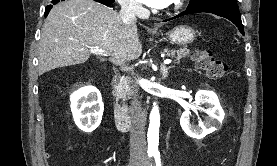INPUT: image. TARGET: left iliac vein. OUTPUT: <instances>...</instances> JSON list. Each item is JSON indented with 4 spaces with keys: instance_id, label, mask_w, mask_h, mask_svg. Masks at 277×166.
Masks as SVG:
<instances>
[{
    "instance_id": "4c4485c4",
    "label": "left iliac vein",
    "mask_w": 277,
    "mask_h": 166,
    "mask_svg": "<svg viewBox=\"0 0 277 166\" xmlns=\"http://www.w3.org/2000/svg\"><path fill=\"white\" fill-rule=\"evenodd\" d=\"M143 166H153L152 162L148 161L145 164H143Z\"/></svg>"
}]
</instances>
